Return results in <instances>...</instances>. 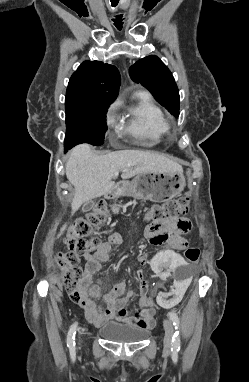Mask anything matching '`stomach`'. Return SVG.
Segmentation results:
<instances>
[{
    "label": "stomach",
    "mask_w": 249,
    "mask_h": 382,
    "mask_svg": "<svg viewBox=\"0 0 249 382\" xmlns=\"http://www.w3.org/2000/svg\"><path fill=\"white\" fill-rule=\"evenodd\" d=\"M186 185L182 172L176 173H141L131 182L119 181L113 197L129 195L135 199L152 202H166L179 195Z\"/></svg>",
    "instance_id": "obj_1"
}]
</instances>
